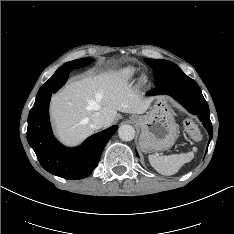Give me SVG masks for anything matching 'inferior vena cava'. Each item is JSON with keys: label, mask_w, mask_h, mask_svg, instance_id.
<instances>
[{"label": "inferior vena cava", "mask_w": 234, "mask_h": 234, "mask_svg": "<svg viewBox=\"0 0 234 234\" xmlns=\"http://www.w3.org/2000/svg\"><path fill=\"white\" fill-rule=\"evenodd\" d=\"M105 125V118L99 112L94 113L90 118V126L93 129H100Z\"/></svg>", "instance_id": "1"}]
</instances>
